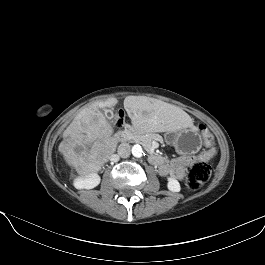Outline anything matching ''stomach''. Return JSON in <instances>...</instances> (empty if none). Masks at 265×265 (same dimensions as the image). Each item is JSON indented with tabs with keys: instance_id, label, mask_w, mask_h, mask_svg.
<instances>
[{
	"instance_id": "stomach-1",
	"label": "stomach",
	"mask_w": 265,
	"mask_h": 265,
	"mask_svg": "<svg viewBox=\"0 0 265 265\" xmlns=\"http://www.w3.org/2000/svg\"><path fill=\"white\" fill-rule=\"evenodd\" d=\"M164 138L166 143L174 146L179 154H195L202 145L200 135L191 128L166 131Z\"/></svg>"
}]
</instances>
